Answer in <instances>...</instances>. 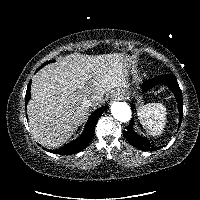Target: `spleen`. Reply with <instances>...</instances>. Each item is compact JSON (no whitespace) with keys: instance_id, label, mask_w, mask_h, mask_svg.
Listing matches in <instances>:
<instances>
[{"instance_id":"1","label":"spleen","mask_w":200,"mask_h":200,"mask_svg":"<svg viewBox=\"0 0 200 200\" xmlns=\"http://www.w3.org/2000/svg\"><path fill=\"white\" fill-rule=\"evenodd\" d=\"M166 108L161 103L142 106L138 118L143 128L152 136H160L166 125Z\"/></svg>"}]
</instances>
